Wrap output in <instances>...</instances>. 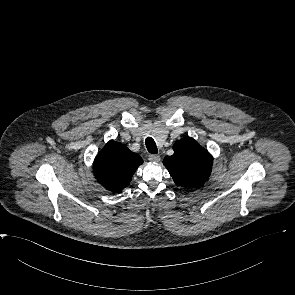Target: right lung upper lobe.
Segmentation results:
<instances>
[{
    "label": "right lung upper lobe",
    "mask_w": 295,
    "mask_h": 295,
    "mask_svg": "<svg viewBox=\"0 0 295 295\" xmlns=\"http://www.w3.org/2000/svg\"><path fill=\"white\" fill-rule=\"evenodd\" d=\"M143 159L124 144L109 141L94 160L96 179L107 190L118 193L127 187Z\"/></svg>",
    "instance_id": "obj_1"
}]
</instances>
